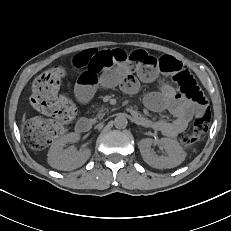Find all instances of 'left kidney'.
Returning a JSON list of instances; mask_svg holds the SVG:
<instances>
[{"mask_svg":"<svg viewBox=\"0 0 231 231\" xmlns=\"http://www.w3.org/2000/svg\"><path fill=\"white\" fill-rule=\"evenodd\" d=\"M153 143L154 141L151 138L142 139L138 143L143 160L151 167L158 169L173 168L185 160L186 153L176 140L171 138L160 140V145L166 151L167 156L154 154L151 149Z\"/></svg>","mask_w":231,"mask_h":231,"instance_id":"1","label":"left kidney"}]
</instances>
